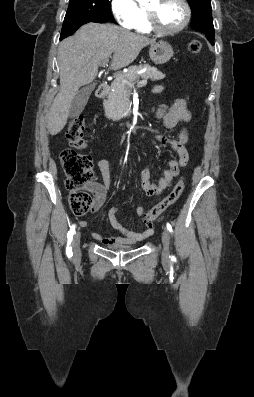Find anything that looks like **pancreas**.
<instances>
[{
  "instance_id": "cf45deb5",
  "label": "pancreas",
  "mask_w": 254,
  "mask_h": 397,
  "mask_svg": "<svg viewBox=\"0 0 254 397\" xmlns=\"http://www.w3.org/2000/svg\"><path fill=\"white\" fill-rule=\"evenodd\" d=\"M141 69H146V71L140 75L137 74ZM139 77L146 80L158 81L164 79L165 75L148 64L130 66L126 73L119 75L111 83V91L103 103L105 115L108 119L120 121L127 116L132 82L136 81Z\"/></svg>"
}]
</instances>
